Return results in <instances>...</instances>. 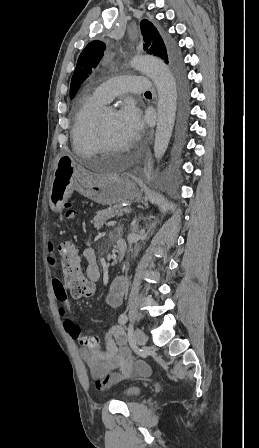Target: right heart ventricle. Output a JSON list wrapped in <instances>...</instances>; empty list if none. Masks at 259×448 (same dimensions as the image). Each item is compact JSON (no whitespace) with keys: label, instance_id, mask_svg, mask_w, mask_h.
Instances as JSON below:
<instances>
[{"label":"right heart ventricle","instance_id":"obj_1","mask_svg":"<svg viewBox=\"0 0 259 448\" xmlns=\"http://www.w3.org/2000/svg\"><path fill=\"white\" fill-rule=\"evenodd\" d=\"M85 100L77 110L71 131L73 147L79 150H96L99 152L97 139V116L105 104L92 90L84 95Z\"/></svg>","mask_w":259,"mask_h":448}]
</instances>
